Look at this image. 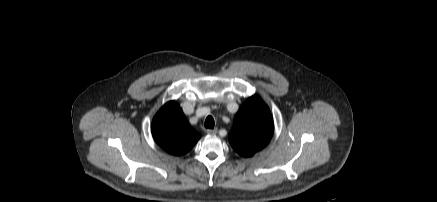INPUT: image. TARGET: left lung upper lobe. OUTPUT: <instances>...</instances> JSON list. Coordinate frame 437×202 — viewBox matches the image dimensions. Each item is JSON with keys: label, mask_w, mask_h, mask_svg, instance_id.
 <instances>
[{"label": "left lung upper lobe", "mask_w": 437, "mask_h": 202, "mask_svg": "<svg viewBox=\"0 0 437 202\" xmlns=\"http://www.w3.org/2000/svg\"><path fill=\"white\" fill-rule=\"evenodd\" d=\"M274 132L268 106L257 96L250 97L239 109L229 133L232 148L243 157H251L265 148Z\"/></svg>", "instance_id": "5c2ea615"}]
</instances>
